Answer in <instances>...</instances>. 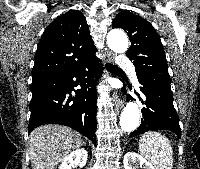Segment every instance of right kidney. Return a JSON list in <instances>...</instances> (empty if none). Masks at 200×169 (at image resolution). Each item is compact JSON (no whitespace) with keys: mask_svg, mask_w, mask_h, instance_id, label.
<instances>
[{"mask_svg":"<svg viewBox=\"0 0 200 169\" xmlns=\"http://www.w3.org/2000/svg\"><path fill=\"white\" fill-rule=\"evenodd\" d=\"M88 153L85 149H76L62 160L59 169H72L73 165L83 168L86 165Z\"/></svg>","mask_w":200,"mask_h":169,"instance_id":"obj_1","label":"right kidney"}]
</instances>
